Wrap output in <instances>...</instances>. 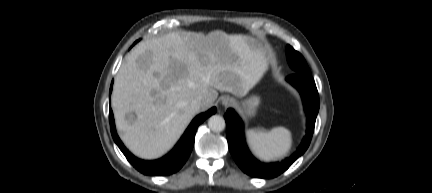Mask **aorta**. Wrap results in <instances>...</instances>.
<instances>
[{
    "label": "aorta",
    "instance_id": "1",
    "mask_svg": "<svg viewBox=\"0 0 432 193\" xmlns=\"http://www.w3.org/2000/svg\"><path fill=\"white\" fill-rule=\"evenodd\" d=\"M208 126L213 132H221L225 129L226 123L222 116L213 115L208 119Z\"/></svg>",
    "mask_w": 432,
    "mask_h": 193
}]
</instances>
